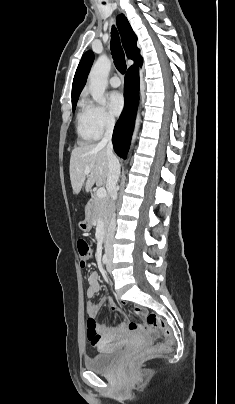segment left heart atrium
<instances>
[{
  "mask_svg": "<svg viewBox=\"0 0 235 404\" xmlns=\"http://www.w3.org/2000/svg\"><path fill=\"white\" fill-rule=\"evenodd\" d=\"M125 100L123 95L118 91H113L108 95V107L114 116H118L124 109Z\"/></svg>",
  "mask_w": 235,
  "mask_h": 404,
  "instance_id": "39dd6f15",
  "label": "left heart atrium"
}]
</instances>
